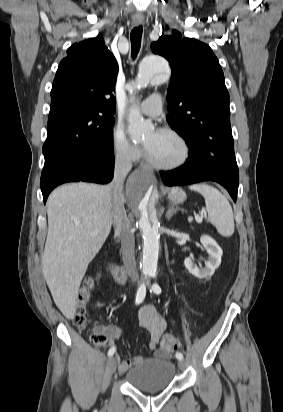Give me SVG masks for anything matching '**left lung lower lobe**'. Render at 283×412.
I'll return each instance as SVG.
<instances>
[{"label": "left lung lower lobe", "instance_id": "obj_1", "mask_svg": "<svg viewBox=\"0 0 283 412\" xmlns=\"http://www.w3.org/2000/svg\"><path fill=\"white\" fill-rule=\"evenodd\" d=\"M228 160L210 156L202 145L193 143L185 165L172 171L160 172L165 185H185L202 181H215L223 185L236 202L238 182L226 175Z\"/></svg>", "mask_w": 283, "mask_h": 412}]
</instances>
